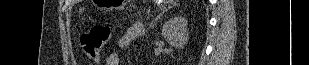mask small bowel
Instances as JSON below:
<instances>
[{
    "label": "small bowel",
    "instance_id": "c3829d8e",
    "mask_svg": "<svg viewBox=\"0 0 309 65\" xmlns=\"http://www.w3.org/2000/svg\"><path fill=\"white\" fill-rule=\"evenodd\" d=\"M144 33V26L141 22L134 23L118 40V46L124 48L128 46L134 39ZM107 65H121V58L118 54L112 53L108 56Z\"/></svg>",
    "mask_w": 309,
    "mask_h": 65
}]
</instances>
